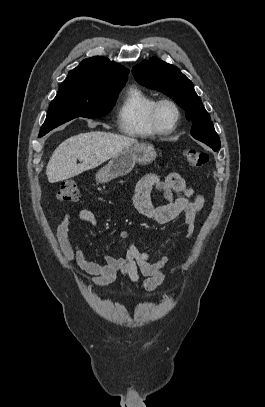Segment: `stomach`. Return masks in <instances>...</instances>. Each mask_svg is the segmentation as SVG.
Returning <instances> with one entry per match:
<instances>
[{"label": "stomach", "instance_id": "obj_1", "mask_svg": "<svg viewBox=\"0 0 265 407\" xmlns=\"http://www.w3.org/2000/svg\"><path fill=\"white\" fill-rule=\"evenodd\" d=\"M155 158L156 151L153 145L148 143L132 145L113 156L109 163L96 173V181L107 183L114 178L130 173L136 163L148 164Z\"/></svg>", "mask_w": 265, "mask_h": 407}]
</instances>
